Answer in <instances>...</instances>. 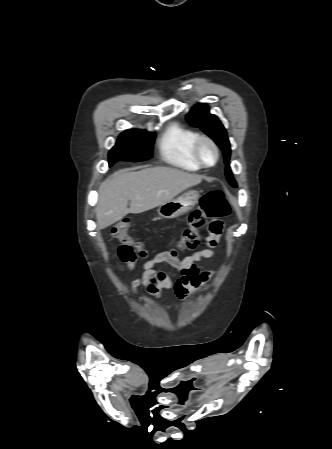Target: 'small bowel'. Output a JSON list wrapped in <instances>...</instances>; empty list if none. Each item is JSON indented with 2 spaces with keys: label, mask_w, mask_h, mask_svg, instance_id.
<instances>
[{
  "label": "small bowel",
  "mask_w": 332,
  "mask_h": 449,
  "mask_svg": "<svg viewBox=\"0 0 332 449\" xmlns=\"http://www.w3.org/2000/svg\"><path fill=\"white\" fill-rule=\"evenodd\" d=\"M213 228H216L217 231ZM222 229L223 223L221 221L212 222L205 240L206 247L192 255L180 257L177 250L169 248L145 261L143 273L132 282V291L137 293L139 288H144L151 296L159 298L162 296L163 290L173 289L181 300H186L194 295L213 276L211 271L201 270L197 263L217 255L215 248L218 245ZM138 255L145 257L146 252L141 251ZM161 263L171 265L182 276L176 282H173L165 271L155 268L156 265ZM127 267L132 270L134 263H128Z\"/></svg>",
  "instance_id": "small-bowel-1"
}]
</instances>
